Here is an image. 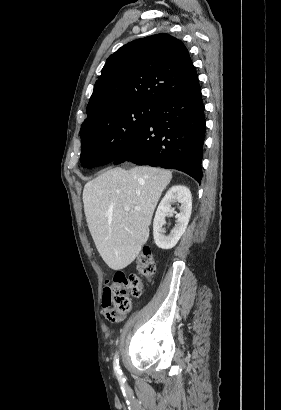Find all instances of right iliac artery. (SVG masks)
Segmentation results:
<instances>
[{
    "instance_id": "1",
    "label": "right iliac artery",
    "mask_w": 281,
    "mask_h": 410,
    "mask_svg": "<svg viewBox=\"0 0 281 410\" xmlns=\"http://www.w3.org/2000/svg\"><path fill=\"white\" fill-rule=\"evenodd\" d=\"M113 365H114V369L117 374L118 380L123 381L124 379H123L122 371L119 367L118 353L115 354Z\"/></svg>"
}]
</instances>
